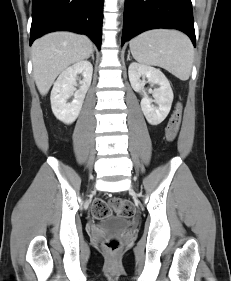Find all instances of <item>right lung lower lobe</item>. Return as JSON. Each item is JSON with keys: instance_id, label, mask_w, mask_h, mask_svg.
Returning a JSON list of instances; mask_svg holds the SVG:
<instances>
[{"instance_id": "right-lung-lower-lobe-1", "label": "right lung lower lobe", "mask_w": 231, "mask_h": 281, "mask_svg": "<svg viewBox=\"0 0 231 281\" xmlns=\"http://www.w3.org/2000/svg\"><path fill=\"white\" fill-rule=\"evenodd\" d=\"M104 0H33L30 45L42 35L70 31L88 35L100 49Z\"/></svg>"}]
</instances>
